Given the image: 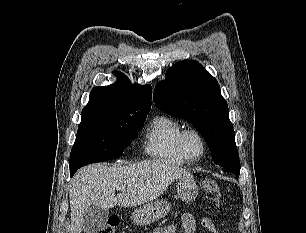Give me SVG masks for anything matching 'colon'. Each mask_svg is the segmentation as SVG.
Wrapping results in <instances>:
<instances>
[{
  "label": "colon",
  "mask_w": 306,
  "mask_h": 233,
  "mask_svg": "<svg viewBox=\"0 0 306 233\" xmlns=\"http://www.w3.org/2000/svg\"><path fill=\"white\" fill-rule=\"evenodd\" d=\"M200 186L208 199L215 202L220 199V190L215 180L206 178L201 181ZM118 222L119 220L117 217H110L105 226L99 230L98 233H115L117 230ZM154 233H160V231L156 230Z\"/></svg>",
  "instance_id": "obj_1"
}]
</instances>
